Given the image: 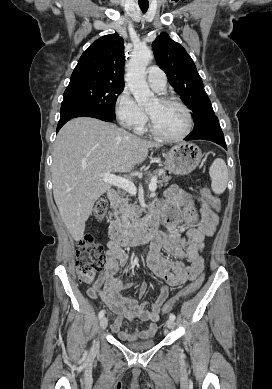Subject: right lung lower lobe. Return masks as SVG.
<instances>
[{
	"label": "right lung lower lobe",
	"mask_w": 272,
	"mask_h": 389,
	"mask_svg": "<svg viewBox=\"0 0 272 389\" xmlns=\"http://www.w3.org/2000/svg\"><path fill=\"white\" fill-rule=\"evenodd\" d=\"M60 114L61 116L57 125V132L67 121L76 117H82V116L93 117L106 122H111L115 119L114 117L104 114L97 109L87 107V106H81V105L61 106Z\"/></svg>",
	"instance_id": "98d812e1"
}]
</instances>
